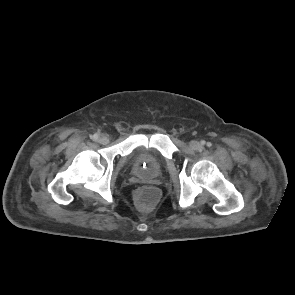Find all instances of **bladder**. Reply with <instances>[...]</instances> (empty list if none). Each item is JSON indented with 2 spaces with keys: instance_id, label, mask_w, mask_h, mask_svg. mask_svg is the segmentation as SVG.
Instances as JSON below:
<instances>
[{
  "instance_id": "obj_1",
  "label": "bladder",
  "mask_w": 295,
  "mask_h": 295,
  "mask_svg": "<svg viewBox=\"0 0 295 295\" xmlns=\"http://www.w3.org/2000/svg\"><path fill=\"white\" fill-rule=\"evenodd\" d=\"M131 164L133 173L145 181L160 176L164 167V161L161 157L143 149L133 153Z\"/></svg>"
}]
</instances>
